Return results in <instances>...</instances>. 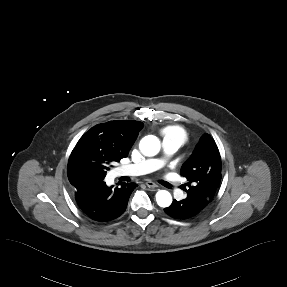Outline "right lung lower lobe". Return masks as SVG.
Segmentation results:
<instances>
[{
	"instance_id": "1",
	"label": "right lung lower lobe",
	"mask_w": 287,
	"mask_h": 287,
	"mask_svg": "<svg viewBox=\"0 0 287 287\" xmlns=\"http://www.w3.org/2000/svg\"><path fill=\"white\" fill-rule=\"evenodd\" d=\"M137 185L122 183L108 187L104 177L84 175L72 184L79 209L95 221L107 222L119 217L126 209L129 197Z\"/></svg>"
}]
</instances>
